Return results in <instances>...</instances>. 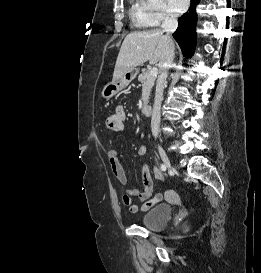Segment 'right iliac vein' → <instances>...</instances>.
Here are the masks:
<instances>
[{
	"instance_id": "1",
	"label": "right iliac vein",
	"mask_w": 261,
	"mask_h": 273,
	"mask_svg": "<svg viewBox=\"0 0 261 273\" xmlns=\"http://www.w3.org/2000/svg\"><path fill=\"white\" fill-rule=\"evenodd\" d=\"M157 147H158V151H159V154H160V157H161L163 163L165 164V166L167 168H170L171 167V163H170V160H169V158H168L165 150L159 144L157 145Z\"/></svg>"
}]
</instances>
